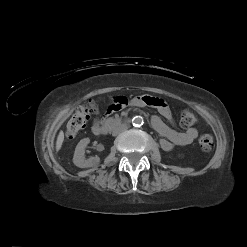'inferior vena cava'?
Masks as SVG:
<instances>
[{
  "label": "inferior vena cava",
  "mask_w": 247,
  "mask_h": 247,
  "mask_svg": "<svg viewBox=\"0 0 247 247\" xmlns=\"http://www.w3.org/2000/svg\"><path fill=\"white\" fill-rule=\"evenodd\" d=\"M127 128H128V127H127V125H125V124L119 125V126H117V127H115V128L113 129L112 135H113V136H116V135L120 134L121 132L125 131Z\"/></svg>",
  "instance_id": "1"
}]
</instances>
